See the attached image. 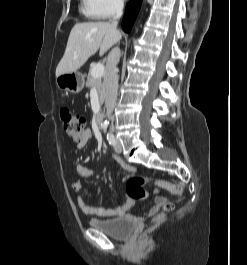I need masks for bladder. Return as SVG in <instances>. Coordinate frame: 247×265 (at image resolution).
<instances>
[{
	"label": "bladder",
	"instance_id": "obj_1",
	"mask_svg": "<svg viewBox=\"0 0 247 265\" xmlns=\"http://www.w3.org/2000/svg\"><path fill=\"white\" fill-rule=\"evenodd\" d=\"M89 225L118 240L128 238L135 230L134 222L126 218L90 219Z\"/></svg>",
	"mask_w": 247,
	"mask_h": 265
}]
</instances>
